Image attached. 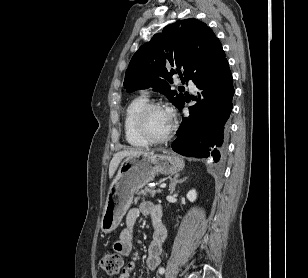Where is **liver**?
I'll return each mask as SVG.
<instances>
[{
    "label": "liver",
    "mask_w": 308,
    "mask_h": 278,
    "mask_svg": "<svg viewBox=\"0 0 308 278\" xmlns=\"http://www.w3.org/2000/svg\"><path fill=\"white\" fill-rule=\"evenodd\" d=\"M147 153H152V152H147V151H144V150H141V149L123 150V151L117 152L113 156V158L110 162V165H109V177L110 178L113 177L119 163L121 162V160L124 157L132 156V155L147 154Z\"/></svg>",
    "instance_id": "6515ba94"
}]
</instances>
